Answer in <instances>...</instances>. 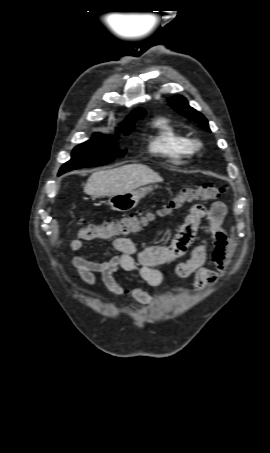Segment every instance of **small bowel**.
Listing matches in <instances>:
<instances>
[{
	"instance_id": "1",
	"label": "small bowel",
	"mask_w": 270,
	"mask_h": 453,
	"mask_svg": "<svg viewBox=\"0 0 270 453\" xmlns=\"http://www.w3.org/2000/svg\"><path fill=\"white\" fill-rule=\"evenodd\" d=\"M226 214L227 209L222 201L214 202L210 208L195 204L190 208L168 245L151 244L139 247L130 238L117 237L112 242L115 251L112 258L99 261L75 256L71 263L84 284L95 287L97 285L95 274H99L111 294L130 296L140 303L147 304L152 300V296L147 291L138 285L123 288L114 275L119 271L136 272L145 284L158 287L164 276L157 266L174 263L189 251L190 256L187 260L176 263L174 273L179 279L193 275L196 290L202 291L214 285L225 271L228 246V237L224 229ZM203 220L206 223L202 226ZM199 231L204 235L199 244L193 246ZM94 239L103 238H85L79 234L77 238L69 241V247L72 250H80ZM209 258L215 265V269L205 266Z\"/></svg>"
}]
</instances>
